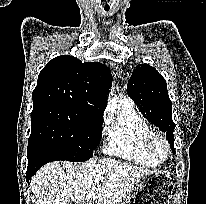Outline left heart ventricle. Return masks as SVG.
<instances>
[{"instance_id": "1", "label": "left heart ventricle", "mask_w": 206, "mask_h": 204, "mask_svg": "<svg viewBox=\"0 0 206 204\" xmlns=\"http://www.w3.org/2000/svg\"><path fill=\"white\" fill-rule=\"evenodd\" d=\"M155 152L158 156L163 157L165 155V148L161 143H156Z\"/></svg>"}]
</instances>
